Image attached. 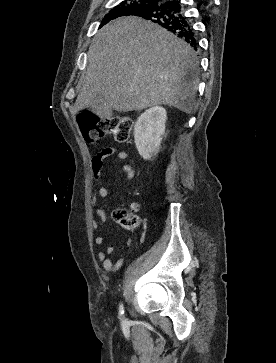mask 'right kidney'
Returning a JSON list of instances; mask_svg holds the SVG:
<instances>
[{
  "instance_id": "obj_1",
  "label": "right kidney",
  "mask_w": 276,
  "mask_h": 363,
  "mask_svg": "<svg viewBox=\"0 0 276 363\" xmlns=\"http://www.w3.org/2000/svg\"><path fill=\"white\" fill-rule=\"evenodd\" d=\"M166 119V110L160 106L151 107L138 117L134 126V139L144 160L151 159L159 152Z\"/></svg>"
}]
</instances>
